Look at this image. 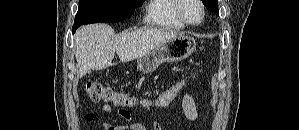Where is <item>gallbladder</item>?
Returning <instances> with one entry per match:
<instances>
[{"label":"gallbladder","instance_id":"1","mask_svg":"<svg viewBox=\"0 0 299 130\" xmlns=\"http://www.w3.org/2000/svg\"><path fill=\"white\" fill-rule=\"evenodd\" d=\"M88 74H91V70H88V72H87Z\"/></svg>","mask_w":299,"mask_h":130}]
</instances>
